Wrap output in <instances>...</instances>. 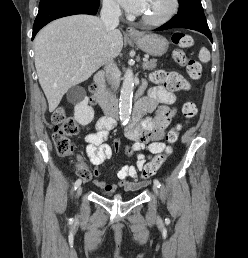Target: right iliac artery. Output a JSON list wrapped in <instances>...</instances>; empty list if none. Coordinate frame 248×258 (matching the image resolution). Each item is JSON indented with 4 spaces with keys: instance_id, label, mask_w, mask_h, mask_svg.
I'll return each mask as SVG.
<instances>
[{
    "instance_id": "1",
    "label": "right iliac artery",
    "mask_w": 248,
    "mask_h": 258,
    "mask_svg": "<svg viewBox=\"0 0 248 258\" xmlns=\"http://www.w3.org/2000/svg\"><path fill=\"white\" fill-rule=\"evenodd\" d=\"M81 184V179H78L74 184V189L76 190L78 186Z\"/></svg>"
}]
</instances>
